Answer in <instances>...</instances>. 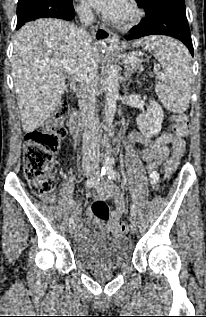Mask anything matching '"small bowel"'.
<instances>
[{
  "label": "small bowel",
  "mask_w": 206,
  "mask_h": 317,
  "mask_svg": "<svg viewBox=\"0 0 206 317\" xmlns=\"http://www.w3.org/2000/svg\"><path fill=\"white\" fill-rule=\"evenodd\" d=\"M135 139L142 143L143 148L140 151L142 158L149 163L150 181L152 185H155L158 180V174L156 167L165 159L169 154L168 145L176 142L178 139L170 133H164L156 139H150L140 135H136ZM97 197L100 198H114L116 202V208L112 211L110 216V227L116 222L120 214L124 211V201L121 190L115 187L97 186ZM51 201H55V198H51ZM71 211L78 217L81 214V207L76 201L71 202ZM89 227L103 229L104 225L101 220L95 217V215L88 211ZM78 238H84L89 234L90 228L81 224L80 220H76Z\"/></svg>",
  "instance_id": "1"
}]
</instances>
